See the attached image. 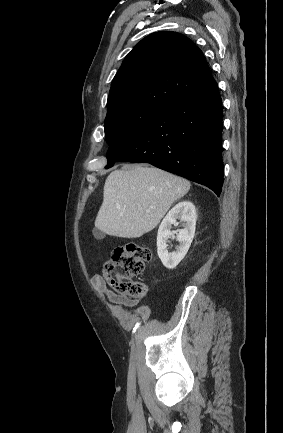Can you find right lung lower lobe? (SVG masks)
Masks as SVG:
<instances>
[{"label":"right lung lower lobe","instance_id":"98d812e1","mask_svg":"<svg viewBox=\"0 0 283 433\" xmlns=\"http://www.w3.org/2000/svg\"><path fill=\"white\" fill-rule=\"evenodd\" d=\"M222 100L214 82L156 114L118 154L108 159L149 163L205 185H223Z\"/></svg>","mask_w":283,"mask_h":433}]
</instances>
